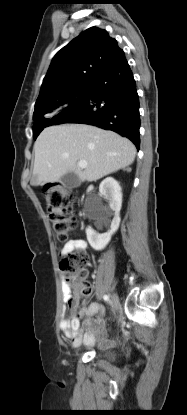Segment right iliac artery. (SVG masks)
<instances>
[{"mask_svg": "<svg viewBox=\"0 0 187 415\" xmlns=\"http://www.w3.org/2000/svg\"><path fill=\"white\" fill-rule=\"evenodd\" d=\"M103 299L108 302L109 301V296L108 295H104L103 296Z\"/></svg>", "mask_w": 187, "mask_h": 415, "instance_id": "obj_1", "label": "right iliac artery"}]
</instances>
